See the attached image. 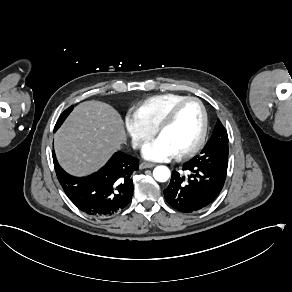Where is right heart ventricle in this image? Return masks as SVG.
I'll list each match as a JSON object with an SVG mask.
<instances>
[{"label": "right heart ventricle", "instance_id": "1", "mask_svg": "<svg viewBox=\"0 0 292 292\" xmlns=\"http://www.w3.org/2000/svg\"><path fill=\"white\" fill-rule=\"evenodd\" d=\"M186 95L167 92L144 99L131 107V111L149 128H156L165 111L176 101Z\"/></svg>", "mask_w": 292, "mask_h": 292}]
</instances>
